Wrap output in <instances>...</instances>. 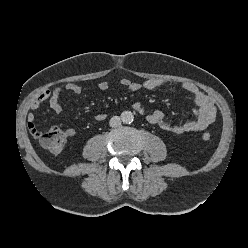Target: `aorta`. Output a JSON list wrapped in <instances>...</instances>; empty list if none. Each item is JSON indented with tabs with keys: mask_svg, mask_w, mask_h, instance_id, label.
Segmentation results:
<instances>
[{
	"mask_svg": "<svg viewBox=\"0 0 248 248\" xmlns=\"http://www.w3.org/2000/svg\"><path fill=\"white\" fill-rule=\"evenodd\" d=\"M121 119L124 123H131V122H133L134 116H133L132 112L124 111L121 114Z\"/></svg>",
	"mask_w": 248,
	"mask_h": 248,
	"instance_id": "1",
	"label": "aorta"
}]
</instances>
